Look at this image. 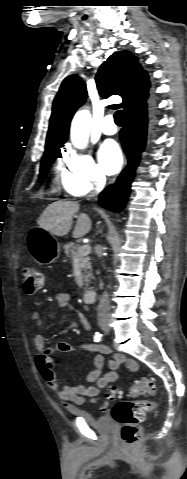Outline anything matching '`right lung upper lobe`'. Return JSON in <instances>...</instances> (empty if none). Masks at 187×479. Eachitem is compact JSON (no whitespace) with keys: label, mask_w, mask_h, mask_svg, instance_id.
Here are the masks:
<instances>
[{"label":"right lung upper lobe","mask_w":187,"mask_h":479,"mask_svg":"<svg viewBox=\"0 0 187 479\" xmlns=\"http://www.w3.org/2000/svg\"><path fill=\"white\" fill-rule=\"evenodd\" d=\"M96 84L103 98L113 94L121 96L122 103L113 107H122L125 113L146 106L151 97L148 73L137 57L127 51L115 52L109 56L99 68ZM86 97V85L78 75L64 79L53 102L45 151L63 146L72 116L85 103Z\"/></svg>","instance_id":"cb5924a9"}]
</instances>
